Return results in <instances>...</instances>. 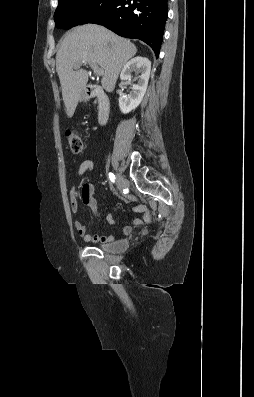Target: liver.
<instances>
[{"mask_svg": "<svg viewBox=\"0 0 254 397\" xmlns=\"http://www.w3.org/2000/svg\"><path fill=\"white\" fill-rule=\"evenodd\" d=\"M136 53L133 43L99 25H82L69 32L56 54V71L67 116L74 115L88 82L87 71L74 70L76 65H99L104 70L102 87L112 92L122 67Z\"/></svg>", "mask_w": 254, "mask_h": 397, "instance_id": "6515ba94", "label": "liver"}]
</instances>
